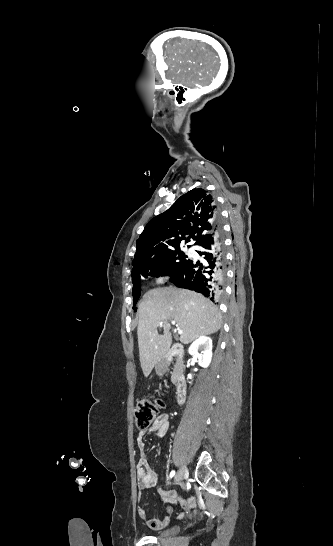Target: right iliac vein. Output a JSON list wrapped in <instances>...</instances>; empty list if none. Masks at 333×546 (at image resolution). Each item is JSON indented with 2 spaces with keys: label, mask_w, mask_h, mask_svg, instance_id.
Here are the masks:
<instances>
[{
  "label": "right iliac vein",
  "mask_w": 333,
  "mask_h": 546,
  "mask_svg": "<svg viewBox=\"0 0 333 546\" xmlns=\"http://www.w3.org/2000/svg\"><path fill=\"white\" fill-rule=\"evenodd\" d=\"M187 475V468L182 466L175 476V483L181 482Z\"/></svg>",
  "instance_id": "63e3f726"
}]
</instances>
